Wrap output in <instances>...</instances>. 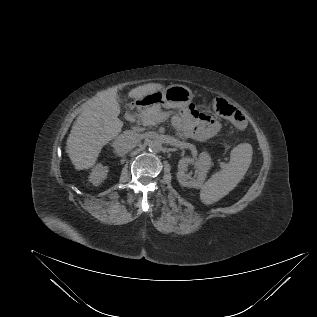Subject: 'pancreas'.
Returning <instances> with one entry per match:
<instances>
[{"label":"pancreas","mask_w":317,"mask_h":317,"mask_svg":"<svg viewBox=\"0 0 317 317\" xmlns=\"http://www.w3.org/2000/svg\"><path fill=\"white\" fill-rule=\"evenodd\" d=\"M161 114V107L154 105L141 110L138 114V120L143 126H154L157 123L156 118Z\"/></svg>","instance_id":"1"}]
</instances>
